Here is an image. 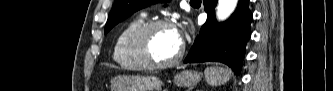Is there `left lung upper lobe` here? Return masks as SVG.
<instances>
[{"mask_svg":"<svg viewBox=\"0 0 333 91\" xmlns=\"http://www.w3.org/2000/svg\"><path fill=\"white\" fill-rule=\"evenodd\" d=\"M163 0H115L105 25V34L137 10Z\"/></svg>","mask_w":333,"mask_h":91,"instance_id":"obj_1","label":"left lung upper lobe"}]
</instances>
